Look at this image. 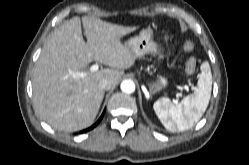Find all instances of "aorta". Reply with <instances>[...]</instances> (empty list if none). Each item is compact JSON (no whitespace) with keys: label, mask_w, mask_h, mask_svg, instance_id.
Returning a JSON list of instances; mask_svg holds the SVG:
<instances>
[{"label":"aorta","mask_w":249,"mask_h":165,"mask_svg":"<svg viewBox=\"0 0 249 165\" xmlns=\"http://www.w3.org/2000/svg\"><path fill=\"white\" fill-rule=\"evenodd\" d=\"M120 88L125 93H133L135 91V83L132 80H123Z\"/></svg>","instance_id":"762f6f07"}]
</instances>
